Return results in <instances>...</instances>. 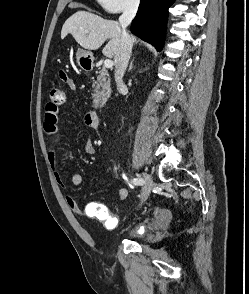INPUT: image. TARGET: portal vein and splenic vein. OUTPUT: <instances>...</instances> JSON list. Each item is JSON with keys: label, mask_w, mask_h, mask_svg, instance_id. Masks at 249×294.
Returning <instances> with one entry per match:
<instances>
[{"label": "portal vein and splenic vein", "mask_w": 249, "mask_h": 294, "mask_svg": "<svg viewBox=\"0 0 249 294\" xmlns=\"http://www.w3.org/2000/svg\"><path fill=\"white\" fill-rule=\"evenodd\" d=\"M113 66V61L111 59H106L104 61V67L105 68H111Z\"/></svg>", "instance_id": "portal-vein-and-splenic-vein-1"}]
</instances>
